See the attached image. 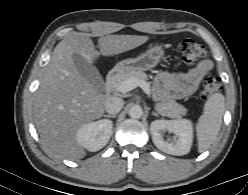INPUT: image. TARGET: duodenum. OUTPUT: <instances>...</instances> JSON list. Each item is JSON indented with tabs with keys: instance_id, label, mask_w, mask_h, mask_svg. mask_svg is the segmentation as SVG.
Segmentation results:
<instances>
[{
	"instance_id": "1",
	"label": "duodenum",
	"mask_w": 248,
	"mask_h": 195,
	"mask_svg": "<svg viewBox=\"0 0 248 195\" xmlns=\"http://www.w3.org/2000/svg\"><path fill=\"white\" fill-rule=\"evenodd\" d=\"M120 75V71L118 70H114V71H111L107 77H106V83H105V87H106V90L107 92H110L114 83L116 82L117 78L119 77Z\"/></svg>"
}]
</instances>
